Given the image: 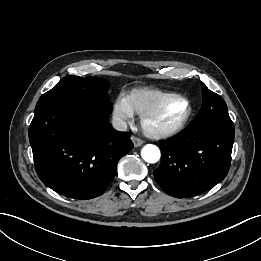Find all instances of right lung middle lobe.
Masks as SVG:
<instances>
[{"label":"right lung middle lobe","instance_id":"right-lung-middle-lobe-1","mask_svg":"<svg viewBox=\"0 0 261 261\" xmlns=\"http://www.w3.org/2000/svg\"><path fill=\"white\" fill-rule=\"evenodd\" d=\"M108 89L109 81L106 79L69 75L43 94L40 100L100 105L111 110V103L107 100Z\"/></svg>","mask_w":261,"mask_h":261}]
</instances>
